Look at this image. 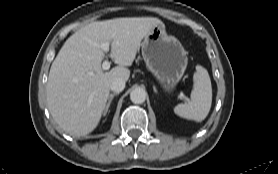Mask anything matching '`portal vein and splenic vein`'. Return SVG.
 I'll return each instance as SVG.
<instances>
[{
	"label": "portal vein and splenic vein",
	"instance_id": "portal-vein-and-splenic-vein-1",
	"mask_svg": "<svg viewBox=\"0 0 278 174\" xmlns=\"http://www.w3.org/2000/svg\"><path fill=\"white\" fill-rule=\"evenodd\" d=\"M109 47H110V43L109 42H105V43L101 44V48L105 52L109 51ZM109 68H110V62L108 60L103 61L102 69L103 70H109ZM89 75H93V72H89ZM181 98L186 100V101H189V99L184 94H181Z\"/></svg>",
	"mask_w": 278,
	"mask_h": 174
}]
</instances>
